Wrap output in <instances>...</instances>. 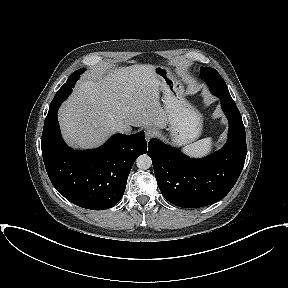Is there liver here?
Instances as JSON below:
<instances>
[{"label": "liver", "instance_id": "6515ba94", "mask_svg": "<svg viewBox=\"0 0 288 288\" xmlns=\"http://www.w3.org/2000/svg\"><path fill=\"white\" fill-rule=\"evenodd\" d=\"M59 122L66 143L83 149L101 145L117 127L127 133L131 126L166 127L155 66L136 64L92 74L62 104Z\"/></svg>", "mask_w": 288, "mask_h": 288}]
</instances>
